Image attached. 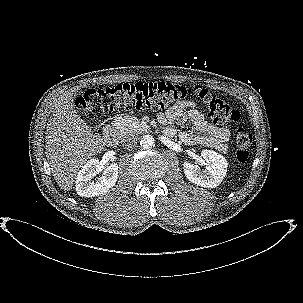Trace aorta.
I'll use <instances>...</instances> for the list:
<instances>
[{"label":"aorta","mask_w":303,"mask_h":303,"mask_svg":"<svg viewBox=\"0 0 303 303\" xmlns=\"http://www.w3.org/2000/svg\"><path fill=\"white\" fill-rule=\"evenodd\" d=\"M140 145L144 149H150V148L154 147L155 140H154L153 136H151V135H143L140 140Z\"/></svg>","instance_id":"1"}]
</instances>
